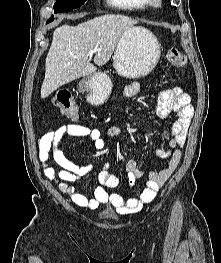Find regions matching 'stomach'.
<instances>
[{"instance_id": "obj_1", "label": "stomach", "mask_w": 221, "mask_h": 263, "mask_svg": "<svg viewBox=\"0 0 221 263\" xmlns=\"http://www.w3.org/2000/svg\"><path fill=\"white\" fill-rule=\"evenodd\" d=\"M161 47L152 33L143 27H134L121 37L113 56L115 70L122 76L138 79L147 76L156 66ZM112 81L103 72L86 78L81 89L88 93L87 100L93 105L103 104L112 91Z\"/></svg>"}]
</instances>
